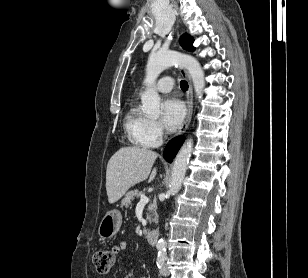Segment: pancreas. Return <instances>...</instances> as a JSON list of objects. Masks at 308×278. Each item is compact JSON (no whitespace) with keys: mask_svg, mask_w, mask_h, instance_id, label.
<instances>
[{"mask_svg":"<svg viewBox=\"0 0 308 278\" xmlns=\"http://www.w3.org/2000/svg\"><path fill=\"white\" fill-rule=\"evenodd\" d=\"M142 195V192H139L137 189L135 190H131L129 191L124 199L122 200L121 202V205L122 206H129L131 205L132 201L134 200L135 197H140ZM156 209H157V205L155 202H153L152 204H150L148 207H147V211L149 212L147 214V220L148 221H157V213H156Z\"/></svg>","mask_w":308,"mask_h":278,"instance_id":"pancreas-1","label":"pancreas"}]
</instances>
